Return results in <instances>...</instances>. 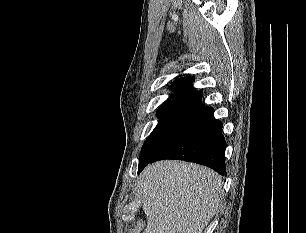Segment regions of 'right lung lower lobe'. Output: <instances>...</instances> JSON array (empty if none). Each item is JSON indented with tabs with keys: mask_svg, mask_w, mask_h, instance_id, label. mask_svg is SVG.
<instances>
[{
	"mask_svg": "<svg viewBox=\"0 0 306 233\" xmlns=\"http://www.w3.org/2000/svg\"><path fill=\"white\" fill-rule=\"evenodd\" d=\"M222 127L223 124L213 117V108H206L152 159L140 165L138 173L148 163L163 159H179L208 166L225 177L226 141Z\"/></svg>",
	"mask_w": 306,
	"mask_h": 233,
	"instance_id": "98d812e1",
	"label": "right lung lower lobe"
}]
</instances>
